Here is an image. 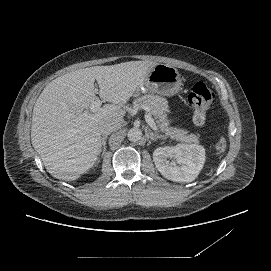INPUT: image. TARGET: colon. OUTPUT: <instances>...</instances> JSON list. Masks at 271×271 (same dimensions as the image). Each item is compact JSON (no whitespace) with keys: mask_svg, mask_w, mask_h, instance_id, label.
<instances>
[{"mask_svg":"<svg viewBox=\"0 0 271 271\" xmlns=\"http://www.w3.org/2000/svg\"><path fill=\"white\" fill-rule=\"evenodd\" d=\"M190 105L194 109L193 120L197 125H203L207 119V110L214 104L215 95L213 91L203 82L194 84L189 97ZM227 147L225 138H220L215 144V148L222 152Z\"/></svg>","mask_w":271,"mask_h":271,"instance_id":"5ec220e1","label":"colon"}]
</instances>
